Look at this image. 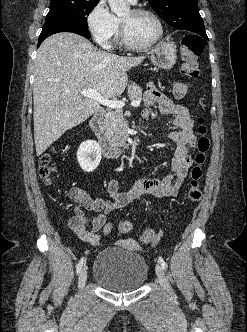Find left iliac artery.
Segmentation results:
<instances>
[{
	"label": "left iliac artery",
	"mask_w": 247,
	"mask_h": 332,
	"mask_svg": "<svg viewBox=\"0 0 247 332\" xmlns=\"http://www.w3.org/2000/svg\"><path fill=\"white\" fill-rule=\"evenodd\" d=\"M159 261H160V264H161L162 268L164 270H166L167 264H166V262L164 261V259L161 256L159 257Z\"/></svg>",
	"instance_id": "44dca946"
}]
</instances>
